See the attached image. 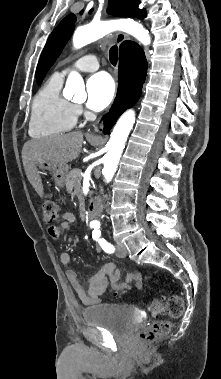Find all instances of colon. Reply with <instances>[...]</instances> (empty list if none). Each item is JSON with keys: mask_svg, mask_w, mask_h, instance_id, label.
<instances>
[{"mask_svg": "<svg viewBox=\"0 0 221 379\" xmlns=\"http://www.w3.org/2000/svg\"><path fill=\"white\" fill-rule=\"evenodd\" d=\"M59 218V206L55 200L48 197L42 204V220L46 224H52ZM149 309L153 315L163 312L170 317L181 316L184 310L183 299L177 294H170L166 300L154 299L149 304ZM171 330V323L168 320H156L148 328L144 329L139 337L143 342H152L158 338L166 336Z\"/></svg>", "mask_w": 221, "mask_h": 379, "instance_id": "obj_1", "label": "colon"}]
</instances>
